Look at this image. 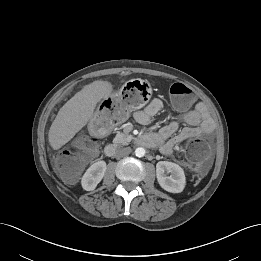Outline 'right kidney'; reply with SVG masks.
<instances>
[{"label":"right kidney","instance_id":"right-kidney-1","mask_svg":"<svg viewBox=\"0 0 261 261\" xmlns=\"http://www.w3.org/2000/svg\"><path fill=\"white\" fill-rule=\"evenodd\" d=\"M107 165L105 161H97L92 164L82 177L81 184L84 190H94L103 179Z\"/></svg>","mask_w":261,"mask_h":261}]
</instances>
